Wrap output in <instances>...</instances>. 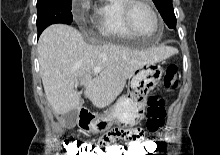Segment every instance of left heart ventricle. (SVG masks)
Listing matches in <instances>:
<instances>
[{
	"label": "left heart ventricle",
	"instance_id": "obj_1",
	"mask_svg": "<svg viewBox=\"0 0 220 155\" xmlns=\"http://www.w3.org/2000/svg\"><path fill=\"white\" fill-rule=\"evenodd\" d=\"M132 22L135 28L144 34H152L156 30V20L151 11L142 4L132 9Z\"/></svg>",
	"mask_w": 220,
	"mask_h": 155
}]
</instances>
